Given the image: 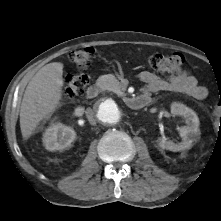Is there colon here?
<instances>
[{
  "label": "colon",
  "instance_id": "colon-1",
  "mask_svg": "<svg viewBox=\"0 0 221 221\" xmlns=\"http://www.w3.org/2000/svg\"><path fill=\"white\" fill-rule=\"evenodd\" d=\"M95 50L86 47L72 52L71 59L79 69L89 67L94 57ZM148 64L157 74L177 73L184 64V56L180 53L171 55L155 53L149 56ZM89 83V78L85 74H71L65 79V94L68 97L81 95ZM214 114L221 122V95L214 106Z\"/></svg>",
  "mask_w": 221,
  "mask_h": 221
}]
</instances>
